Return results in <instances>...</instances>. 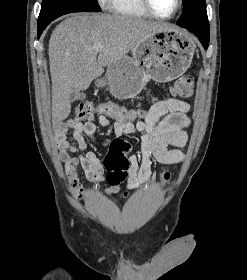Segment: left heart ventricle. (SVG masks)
Segmentation results:
<instances>
[{
	"label": "left heart ventricle",
	"mask_w": 247,
	"mask_h": 280,
	"mask_svg": "<svg viewBox=\"0 0 247 280\" xmlns=\"http://www.w3.org/2000/svg\"><path fill=\"white\" fill-rule=\"evenodd\" d=\"M154 11L161 16L170 15L176 8V0H149Z\"/></svg>",
	"instance_id": "obj_1"
}]
</instances>
